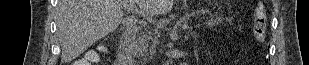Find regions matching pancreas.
<instances>
[{
  "mask_svg": "<svg viewBox=\"0 0 309 65\" xmlns=\"http://www.w3.org/2000/svg\"><path fill=\"white\" fill-rule=\"evenodd\" d=\"M159 33H149L143 35L141 39L138 40L137 48L139 51H147L149 44H151L150 51L154 53L156 51V46L159 44Z\"/></svg>",
  "mask_w": 309,
  "mask_h": 65,
  "instance_id": "cf45deb5",
  "label": "pancreas"
}]
</instances>
